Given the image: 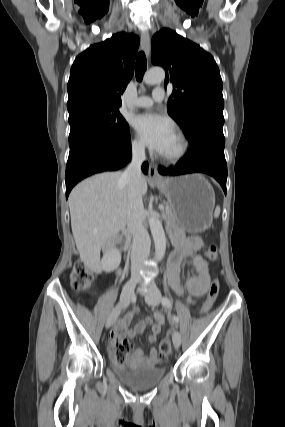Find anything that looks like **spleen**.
<instances>
[{
  "instance_id": "1",
  "label": "spleen",
  "mask_w": 285,
  "mask_h": 427,
  "mask_svg": "<svg viewBox=\"0 0 285 427\" xmlns=\"http://www.w3.org/2000/svg\"><path fill=\"white\" fill-rule=\"evenodd\" d=\"M220 215V207H216L215 212H214V217L218 218Z\"/></svg>"
}]
</instances>
